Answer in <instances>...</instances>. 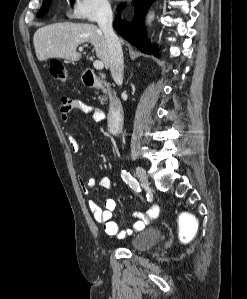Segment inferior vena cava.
Listing matches in <instances>:
<instances>
[{"instance_id":"602c4592","label":"inferior vena cava","mask_w":247,"mask_h":299,"mask_svg":"<svg viewBox=\"0 0 247 299\" xmlns=\"http://www.w3.org/2000/svg\"><path fill=\"white\" fill-rule=\"evenodd\" d=\"M97 22L108 43L111 75L114 81L120 85L123 82L124 73L123 52L120 41L113 30V13L110 5L104 4L100 7Z\"/></svg>"}]
</instances>
